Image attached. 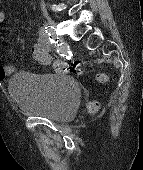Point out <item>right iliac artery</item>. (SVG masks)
Listing matches in <instances>:
<instances>
[{"label":"right iliac artery","instance_id":"obj_1","mask_svg":"<svg viewBox=\"0 0 143 170\" xmlns=\"http://www.w3.org/2000/svg\"><path fill=\"white\" fill-rule=\"evenodd\" d=\"M43 32L48 35V36H51L53 34V27L52 26H45L43 28ZM53 41V40H52ZM54 43H57L55 41H53Z\"/></svg>","mask_w":143,"mask_h":170}]
</instances>
